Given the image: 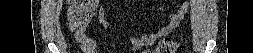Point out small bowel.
<instances>
[{"instance_id":"small-bowel-1","label":"small bowel","mask_w":253,"mask_h":53,"mask_svg":"<svg viewBox=\"0 0 253 53\" xmlns=\"http://www.w3.org/2000/svg\"><path fill=\"white\" fill-rule=\"evenodd\" d=\"M95 6L99 1H91ZM190 1H185L184 4L177 10H172L169 14L168 22L160 27L157 32L145 35L142 38H131L132 49L137 50L144 45L153 44L156 38L170 34L181 22L185 13L188 11ZM96 15L100 24L106 26L104 21V12L101 7L97 8ZM75 38L81 45L82 49L87 53H97V44L87 35V28L81 27L75 30Z\"/></svg>"}]
</instances>
